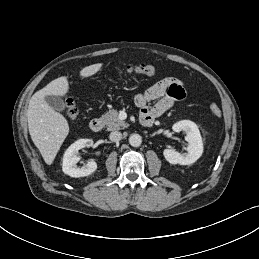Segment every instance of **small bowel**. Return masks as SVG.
I'll return each mask as SVG.
<instances>
[{"instance_id": "obj_1", "label": "small bowel", "mask_w": 259, "mask_h": 259, "mask_svg": "<svg viewBox=\"0 0 259 259\" xmlns=\"http://www.w3.org/2000/svg\"><path fill=\"white\" fill-rule=\"evenodd\" d=\"M186 97V91L180 80L166 77L158 81L144 92L135 96V104L140 108L141 117H160L163 113L175 107L177 102ZM157 102L150 106L151 101Z\"/></svg>"}]
</instances>
